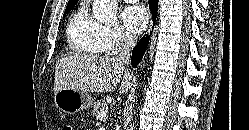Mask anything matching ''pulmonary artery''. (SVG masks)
Here are the masks:
<instances>
[{
    "label": "pulmonary artery",
    "mask_w": 249,
    "mask_h": 130,
    "mask_svg": "<svg viewBox=\"0 0 249 130\" xmlns=\"http://www.w3.org/2000/svg\"><path fill=\"white\" fill-rule=\"evenodd\" d=\"M125 1H127V2H136V1H138V0H125Z\"/></svg>",
    "instance_id": "obj_1"
}]
</instances>
